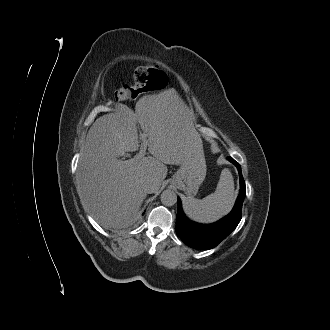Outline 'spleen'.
Returning a JSON list of instances; mask_svg holds the SVG:
<instances>
[{
    "mask_svg": "<svg viewBox=\"0 0 330 330\" xmlns=\"http://www.w3.org/2000/svg\"><path fill=\"white\" fill-rule=\"evenodd\" d=\"M234 181L229 169L225 168L220 174V179L214 193L196 199L185 197L183 207L186 215L194 221L201 223L214 222L228 214L234 204Z\"/></svg>",
    "mask_w": 330,
    "mask_h": 330,
    "instance_id": "spleen-1",
    "label": "spleen"
}]
</instances>
